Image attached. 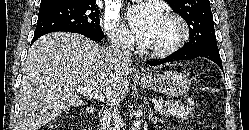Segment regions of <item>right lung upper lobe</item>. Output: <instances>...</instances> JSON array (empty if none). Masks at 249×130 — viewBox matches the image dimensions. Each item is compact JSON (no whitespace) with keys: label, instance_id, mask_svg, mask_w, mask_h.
<instances>
[{"label":"right lung upper lobe","instance_id":"cb5924a9","mask_svg":"<svg viewBox=\"0 0 249 130\" xmlns=\"http://www.w3.org/2000/svg\"><path fill=\"white\" fill-rule=\"evenodd\" d=\"M63 1L64 0H41L40 6L58 4V3H61ZM92 1H96V0H92Z\"/></svg>","mask_w":249,"mask_h":130}]
</instances>
